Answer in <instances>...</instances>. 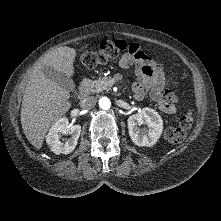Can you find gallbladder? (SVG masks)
I'll return each mask as SVG.
<instances>
[{
	"instance_id": "bac80fb5",
	"label": "gallbladder",
	"mask_w": 221,
	"mask_h": 221,
	"mask_svg": "<svg viewBox=\"0 0 221 221\" xmlns=\"http://www.w3.org/2000/svg\"><path fill=\"white\" fill-rule=\"evenodd\" d=\"M43 73L47 78L57 82L63 88H65L69 91L74 90L75 84H74L73 80L69 76L65 75L64 73L52 71V70H48V69H45L43 71Z\"/></svg>"
}]
</instances>
